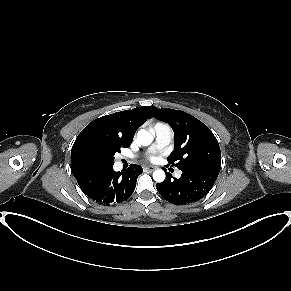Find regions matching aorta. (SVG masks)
<instances>
[{"label":"aorta","instance_id":"aorta-1","mask_svg":"<svg viewBox=\"0 0 291 291\" xmlns=\"http://www.w3.org/2000/svg\"><path fill=\"white\" fill-rule=\"evenodd\" d=\"M137 140L141 145L148 146L152 143L153 136L144 129H141L137 133ZM153 179L156 182H163L165 180V172L162 169L155 170L153 172Z\"/></svg>","mask_w":291,"mask_h":291}]
</instances>
